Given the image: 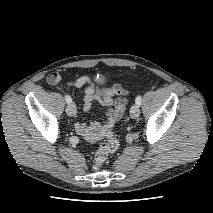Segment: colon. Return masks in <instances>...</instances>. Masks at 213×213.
Here are the masks:
<instances>
[{
  "label": "colon",
  "mask_w": 213,
  "mask_h": 213,
  "mask_svg": "<svg viewBox=\"0 0 213 213\" xmlns=\"http://www.w3.org/2000/svg\"><path fill=\"white\" fill-rule=\"evenodd\" d=\"M103 137L105 138V141L100 144L94 154L93 166L95 169L101 168L109 155L114 153L119 147V143L112 131V126H107L104 129Z\"/></svg>",
  "instance_id": "1"
}]
</instances>
